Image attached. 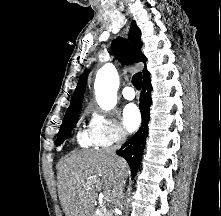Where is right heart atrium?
Here are the masks:
<instances>
[{"mask_svg":"<svg viewBox=\"0 0 221 216\" xmlns=\"http://www.w3.org/2000/svg\"><path fill=\"white\" fill-rule=\"evenodd\" d=\"M89 134L97 147H110L126 140L128 133L122 124L113 116L95 111L89 123Z\"/></svg>","mask_w":221,"mask_h":216,"instance_id":"obj_1","label":"right heart atrium"}]
</instances>
